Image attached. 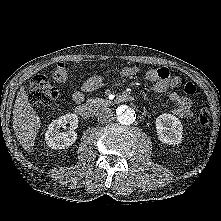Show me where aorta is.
<instances>
[{
    "instance_id": "762f6f07",
    "label": "aorta",
    "mask_w": 221,
    "mask_h": 221,
    "mask_svg": "<svg viewBox=\"0 0 221 221\" xmlns=\"http://www.w3.org/2000/svg\"><path fill=\"white\" fill-rule=\"evenodd\" d=\"M136 119L134 109L128 107H119L117 109V120L122 125H131Z\"/></svg>"
}]
</instances>
